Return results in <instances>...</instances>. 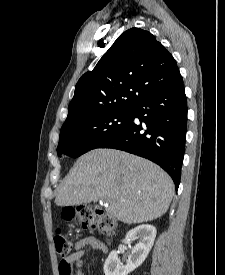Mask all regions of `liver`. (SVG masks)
I'll return each instance as SVG.
<instances>
[{"label": "liver", "instance_id": "6515ba94", "mask_svg": "<svg viewBox=\"0 0 225 275\" xmlns=\"http://www.w3.org/2000/svg\"><path fill=\"white\" fill-rule=\"evenodd\" d=\"M174 195L170 176L144 158L114 149L82 155L61 183L58 206L102 201L106 211L126 224L161 217Z\"/></svg>", "mask_w": 225, "mask_h": 275}]
</instances>
